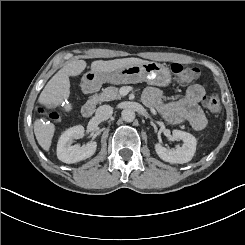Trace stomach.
Here are the masks:
<instances>
[{
	"label": "stomach",
	"mask_w": 245,
	"mask_h": 245,
	"mask_svg": "<svg viewBox=\"0 0 245 245\" xmlns=\"http://www.w3.org/2000/svg\"><path fill=\"white\" fill-rule=\"evenodd\" d=\"M170 81L168 68L156 62L131 64L110 71H88L82 77L83 88L95 91L103 83L114 85L147 82L152 85H166Z\"/></svg>",
	"instance_id": "stomach-1"
}]
</instances>
